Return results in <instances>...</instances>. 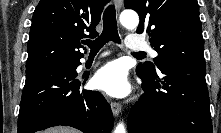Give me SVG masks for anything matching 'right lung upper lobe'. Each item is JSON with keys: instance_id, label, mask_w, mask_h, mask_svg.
<instances>
[{"instance_id": "cb5924a9", "label": "right lung upper lobe", "mask_w": 221, "mask_h": 133, "mask_svg": "<svg viewBox=\"0 0 221 133\" xmlns=\"http://www.w3.org/2000/svg\"><path fill=\"white\" fill-rule=\"evenodd\" d=\"M108 1L40 0L32 17L26 69L79 61L83 54L77 49L83 38L98 35L95 27Z\"/></svg>"}]
</instances>
